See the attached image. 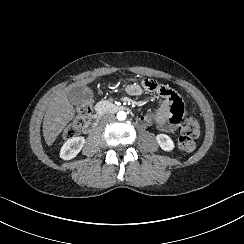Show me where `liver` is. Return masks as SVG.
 <instances>
[{"label":"liver","instance_id":"6515ba94","mask_svg":"<svg viewBox=\"0 0 244 244\" xmlns=\"http://www.w3.org/2000/svg\"><path fill=\"white\" fill-rule=\"evenodd\" d=\"M94 78L83 79L64 90L57 92L51 99L43 120V136L47 145L51 146L67 123L74 117V108L68 101V93L73 86H84Z\"/></svg>","mask_w":244,"mask_h":244}]
</instances>
